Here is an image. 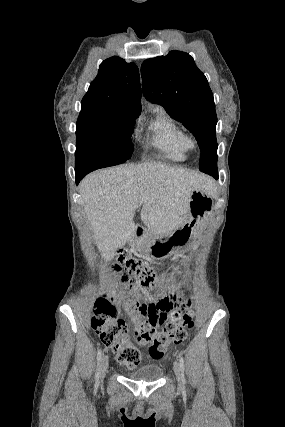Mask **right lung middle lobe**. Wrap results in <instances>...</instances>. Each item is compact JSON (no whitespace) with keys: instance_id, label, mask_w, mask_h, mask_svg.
Instances as JSON below:
<instances>
[{"instance_id":"obj_1","label":"right lung middle lobe","mask_w":285,"mask_h":427,"mask_svg":"<svg viewBox=\"0 0 285 427\" xmlns=\"http://www.w3.org/2000/svg\"><path fill=\"white\" fill-rule=\"evenodd\" d=\"M135 119L76 124L75 172H91L130 159Z\"/></svg>"}]
</instances>
